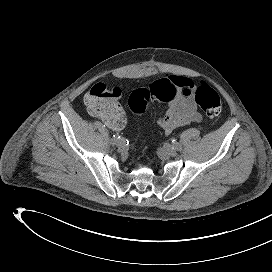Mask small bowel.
Listing matches in <instances>:
<instances>
[{"instance_id": "small-bowel-1", "label": "small bowel", "mask_w": 272, "mask_h": 272, "mask_svg": "<svg viewBox=\"0 0 272 272\" xmlns=\"http://www.w3.org/2000/svg\"><path fill=\"white\" fill-rule=\"evenodd\" d=\"M170 79L177 84L178 92L158 120L166 134H170L178 127L202 120L192 94L184 92L185 89L191 90L194 87L193 81L184 76H171ZM101 118L116 131L123 129L126 125L125 113L117 101L116 108L109 115Z\"/></svg>"}]
</instances>
